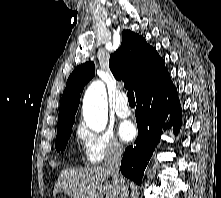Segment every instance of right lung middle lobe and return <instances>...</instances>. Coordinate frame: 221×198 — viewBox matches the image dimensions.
Returning a JSON list of instances; mask_svg holds the SVG:
<instances>
[{
	"instance_id": "1",
	"label": "right lung middle lobe",
	"mask_w": 221,
	"mask_h": 198,
	"mask_svg": "<svg viewBox=\"0 0 221 198\" xmlns=\"http://www.w3.org/2000/svg\"><path fill=\"white\" fill-rule=\"evenodd\" d=\"M72 126L61 131H57V136L55 140V148L58 151H63L66 147L68 139L71 136Z\"/></svg>"
}]
</instances>
